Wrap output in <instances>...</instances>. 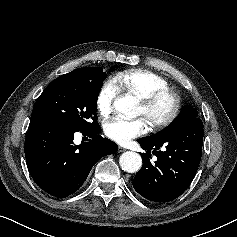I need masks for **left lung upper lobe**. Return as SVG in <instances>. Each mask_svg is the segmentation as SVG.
Here are the masks:
<instances>
[{"label": "left lung upper lobe", "instance_id": "5c2ea615", "mask_svg": "<svg viewBox=\"0 0 237 237\" xmlns=\"http://www.w3.org/2000/svg\"><path fill=\"white\" fill-rule=\"evenodd\" d=\"M197 115L198 112L195 108L191 107L190 105H185L182 108L180 114L175 118V120L171 123L170 126H168L157 134L144 138L149 141H160L165 138H168L172 136L175 132L186 126L190 121L197 118Z\"/></svg>", "mask_w": 237, "mask_h": 237}]
</instances>
